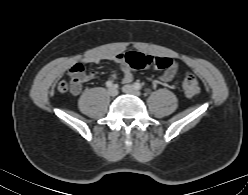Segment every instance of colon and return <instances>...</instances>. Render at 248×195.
<instances>
[{"label":"colon","instance_id":"obj_1","mask_svg":"<svg viewBox=\"0 0 248 195\" xmlns=\"http://www.w3.org/2000/svg\"><path fill=\"white\" fill-rule=\"evenodd\" d=\"M120 58L123 60L124 65L132 69H142L146 67L168 69L173 64L170 58L146 55L139 52L122 53ZM83 73L84 69L80 67L69 72V78L67 80H62L58 84V90L61 93H78L81 89L82 82L84 81ZM182 88L186 97H195L200 91L197 77L193 73H186L183 78Z\"/></svg>","mask_w":248,"mask_h":195}]
</instances>
